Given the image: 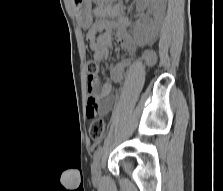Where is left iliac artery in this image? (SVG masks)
I'll return each instance as SVG.
<instances>
[{
  "label": "left iliac artery",
  "mask_w": 223,
  "mask_h": 191,
  "mask_svg": "<svg viewBox=\"0 0 223 191\" xmlns=\"http://www.w3.org/2000/svg\"><path fill=\"white\" fill-rule=\"evenodd\" d=\"M103 152V147L100 146L96 149V151L94 152V161H98L102 155Z\"/></svg>",
  "instance_id": "1"
}]
</instances>
